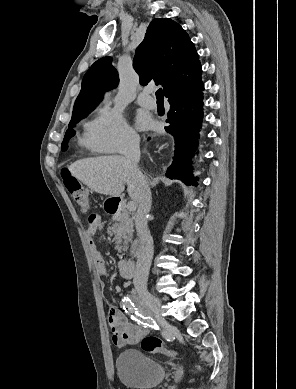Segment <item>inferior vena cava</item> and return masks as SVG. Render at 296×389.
Segmentation results:
<instances>
[{"label":"inferior vena cava","mask_w":296,"mask_h":389,"mask_svg":"<svg viewBox=\"0 0 296 389\" xmlns=\"http://www.w3.org/2000/svg\"><path fill=\"white\" fill-rule=\"evenodd\" d=\"M139 144L140 137L134 133L129 134L126 138L123 153L133 174L137 178L140 187V199L139 206L135 214V225L143 248V254L138 259L133 284L138 296L142 299H147L150 297L147 290V281L153 249V240L149 234L147 226V215L151 209L152 197L147 180L138 168V162L140 159Z\"/></svg>","instance_id":"inferior-vena-cava-1"}]
</instances>
